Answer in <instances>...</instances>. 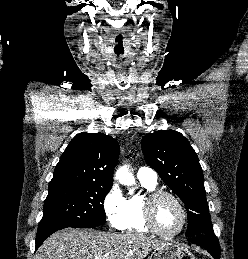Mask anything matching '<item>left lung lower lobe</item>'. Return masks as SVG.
<instances>
[{
  "mask_svg": "<svg viewBox=\"0 0 248 259\" xmlns=\"http://www.w3.org/2000/svg\"><path fill=\"white\" fill-rule=\"evenodd\" d=\"M190 242L205 248L214 259H220L219 241L214 234H203L189 239Z\"/></svg>",
  "mask_w": 248,
  "mask_h": 259,
  "instance_id": "left-lung-lower-lobe-1",
  "label": "left lung lower lobe"
}]
</instances>
